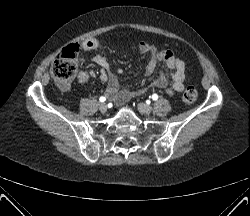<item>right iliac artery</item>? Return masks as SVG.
<instances>
[{"instance_id":"obj_1","label":"right iliac artery","mask_w":250,"mask_h":216,"mask_svg":"<svg viewBox=\"0 0 250 216\" xmlns=\"http://www.w3.org/2000/svg\"><path fill=\"white\" fill-rule=\"evenodd\" d=\"M105 100H106V98L104 96H102V97L99 98L100 102H104Z\"/></svg>"}]
</instances>
